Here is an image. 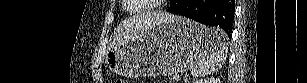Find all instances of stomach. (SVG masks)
Wrapping results in <instances>:
<instances>
[{
    "label": "stomach",
    "instance_id": "obj_1",
    "mask_svg": "<svg viewBox=\"0 0 307 83\" xmlns=\"http://www.w3.org/2000/svg\"><path fill=\"white\" fill-rule=\"evenodd\" d=\"M210 28L181 16L112 46L105 64L127 77L167 76L186 71L205 57L211 46Z\"/></svg>",
    "mask_w": 307,
    "mask_h": 83
}]
</instances>
